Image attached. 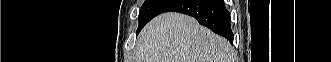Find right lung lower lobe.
Wrapping results in <instances>:
<instances>
[{"label":"right lung lower lobe","mask_w":331,"mask_h":62,"mask_svg":"<svg viewBox=\"0 0 331 62\" xmlns=\"http://www.w3.org/2000/svg\"><path fill=\"white\" fill-rule=\"evenodd\" d=\"M171 11L193 16L201 25L233 42L230 14L224 0H174L161 13Z\"/></svg>","instance_id":"98d812e1"}]
</instances>
